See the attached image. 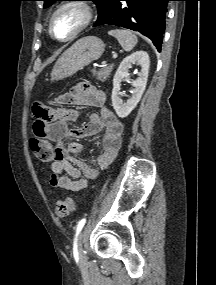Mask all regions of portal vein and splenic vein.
Returning <instances> with one entry per match:
<instances>
[{
	"label": "portal vein and splenic vein",
	"mask_w": 216,
	"mask_h": 285,
	"mask_svg": "<svg viewBox=\"0 0 216 285\" xmlns=\"http://www.w3.org/2000/svg\"><path fill=\"white\" fill-rule=\"evenodd\" d=\"M115 56H116V55H115ZM102 64H103V65H105V64H106V62H103Z\"/></svg>",
	"instance_id": "1"
}]
</instances>
